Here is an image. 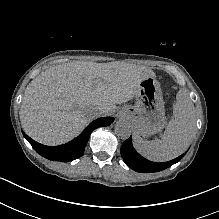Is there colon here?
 I'll return each instance as SVG.
<instances>
[{
    "instance_id": "obj_1",
    "label": "colon",
    "mask_w": 219,
    "mask_h": 219,
    "mask_svg": "<svg viewBox=\"0 0 219 219\" xmlns=\"http://www.w3.org/2000/svg\"><path fill=\"white\" fill-rule=\"evenodd\" d=\"M169 94H170V93L168 92V93H167V96H169Z\"/></svg>"
}]
</instances>
